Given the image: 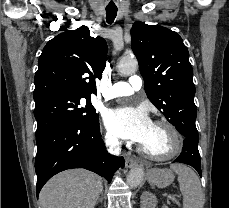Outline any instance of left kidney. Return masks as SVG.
Here are the masks:
<instances>
[{
    "mask_svg": "<svg viewBox=\"0 0 229 208\" xmlns=\"http://www.w3.org/2000/svg\"><path fill=\"white\" fill-rule=\"evenodd\" d=\"M156 196L149 194V192H143L141 196L140 206L141 208H155ZM167 208V206H164Z\"/></svg>",
    "mask_w": 229,
    "mask_h": 208,
    "instance_id": "1",
    "label": "left kidney"
}]
</instances>
